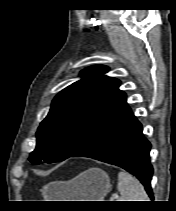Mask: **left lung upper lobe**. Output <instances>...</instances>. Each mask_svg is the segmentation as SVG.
Listing matches in <instances>:
<instances>
[{
  "instance_id": "5c2ea615",
  "label": "left lung upper lobe",
  "mask_w": 176,
  "mask_h": 211,
  "mask_svg": "<svg viewBox=\"0 0 176 211\" xmlns=\"http://www.w3.org/2000/svg\"><path fill=\"white\" fill-rule=\"evenodd\" d=\"M103 65L84 69L81 80L62 90L52 101L37 130L32 163L61 162L76 153L100 127L124 110L126 94L118 79L104 75Z\"/></svg>"
}]
</instances>
